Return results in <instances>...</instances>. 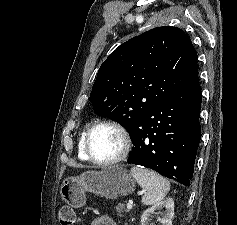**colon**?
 I'll return each instance as SVG.
<instances>
[{"instance_id":"5ec220e1","label":"colon","mask_w":237,"mask_h":225,"mask_svg":"<svg viewBox=\"0 0 237 225\" xmlns=\"http://www.w3.org/2000/svg\"><path fill=\"white\" fill-rule=\"evenodd\" d=\"M77 221V216L73 208L63 206L59 211L60 225H74Z\"/></svg>"}]
</instances>
